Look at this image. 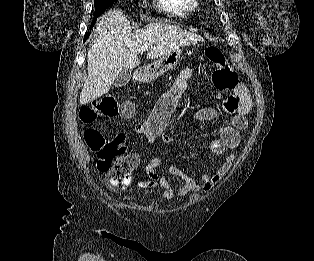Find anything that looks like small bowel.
Segmentation results:
<instances>
[{
	"mask_svg": "<svg viewBox=\"0 0 314 261\" xmlns=\"http://www.w3.org/2000/svg\"><path fill=\"white\" fill-rule=\"evenodd\" d=\"M191 76V67H185L181 70L170 88L156 103L150 117L136 125L137 134L148 141L160 137L166 144L170 145L172 143V138L166 132V126L178 105L179 99L185 93ZM251 105L252 102L247 88L239 84L235 88L233 96L223 102L220 113L213 109H201L195 113L194 119L198 121H209L218 116L229 118V123L221 125L218 128L217 137L211 139L207 144V148L212 154L224 156L222 164L214 173L203 174L198 180H195L181 168L170 166L167 168V174L176 176L183 181V184L175 189L166 176L158 173V167L166 156V153H162L145 166V173L149 179L138 181L137 186L145 191L161 190L165 199H171L176 195L186 196L192 192H210L232 167L234 156L227 154V152L239 146L240 133L247 127L246 116L251 109ZM118 138L125 142L123 136H118ZM131 158L134 167L138 166L140 163L139 155L134 154Z\"/></svg>",
	"mask_w": 314,
	"mask_h": 261,
	"instance_id": "c3829d8e",
	"label": "small bowel"
}]
</instances>
